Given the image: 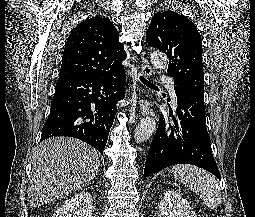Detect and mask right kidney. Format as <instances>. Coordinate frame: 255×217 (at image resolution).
<instances>
[{
    "label": "right kidney",
    "mask_w": 255,
    "mask_h": 217,
    "mask_svg": "<svg viewBox=\"0 0 255 217\" xmlns=\"http://www.w3.org/2000/svg\"><path fill=\"white\" fill-rule=\"evenodd\" d=\"M92 201L89 192H79L65 200L53 217H92Z\"/></svg>",
    "instance_id": "1"
}]
</instances>
